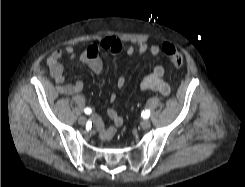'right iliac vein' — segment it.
Returning <instances> with one entry per match:
<instances>
[{"instance_id": "obj_1", "label": "right iliac vein", "mask_w": 245, "mask_h": 187, "mask_svg": "<svg viewBox=\"0 0 245 187\" xmlns=\"http://www.w3.org/2000/svg\"><path fill=\"white\" fill-rule=\"evenodd\" d=\"M86 121H87V119L84 116H80L78 118V123L81 124V125H85L86 124Z\"/></svg>"}]
</instances>
